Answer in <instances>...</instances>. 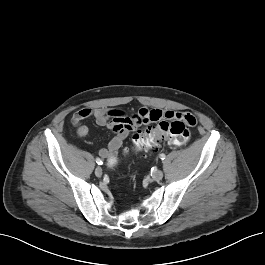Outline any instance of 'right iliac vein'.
<instances>
[{"label":"right iliac vein","instance_id":"63e3f726","mask_svg":"<svg viewBox=\"0 0 265 265\" xmlns=\"http://www.w3.org/2000/svg\"><path fill=\"white\" fill-rule=\"evenodd\" d=\"M95 175H96L97 177H101V175H102V169H101L100 167H97V168L95 169Z\"/></svg>","mask_w":265,"mask_h":265}]
</instances>
